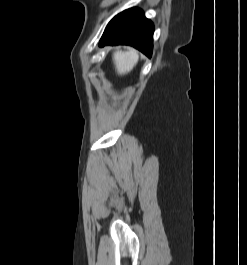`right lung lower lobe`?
<instances>
[{"label": "right lung lower lobe", "mask_w": 247, "mask_h": 265, "mask_svg": "<svg viewBox=\"0 0 247 265\" xmlns=\"http://www.w3.org/2000/svg\"><path fill=\"white\" fill-rule=\"evenodd\" d=\"M153 32L154 26L145 18L142 10L128 9L109 22L100 40V46L126 44L151 56Z\"/></svg>", "instance_id": "obj_1"}]
</instances>
